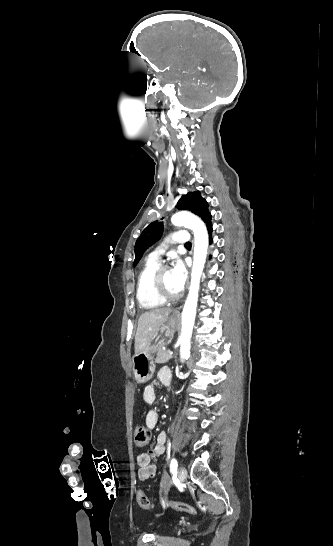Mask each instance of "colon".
Segmentation results:
<instances>
[{
	"label": "colon",
	"instance_id": "5ec220e1",
	"mask_svg": "<svg viewBox=\"0 0 333 546\" xmlns=\"http://www.w3.org/2000/svg\"><path fill=\"white\" fill-rule=\"evenodd\" d=\"M133 437H134V443L137 449H144L148 446L151 434L147 427L138 425L134 428L133 431ZM137 501L140 505V507L144 510H151L155 507L154 503H152L147 496L144 494L143 491H139L137 493ZM162 505L167 506L171 509L181 511L187 514L195 515L196 509L184 502L180 501H173L165 499L161 502Z\"/></svg>",
	"mask_w": 333,
	"mask_h": 546
}]
</instances>
